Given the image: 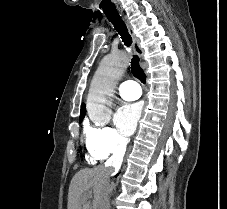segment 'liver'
<instances>
[{
	"label": "liver",
	"mask_w": 227,
	"mask_h": 209,
	"mask_svg": "<svg viewBox=\"0 0 227 209\" xmlns=\"http://www.w3.org/2000/svg\"><path fill=\"white\" fill-rule=\"evenodd\" d=\"M99 175L100 169H82L74 175L69 187L68 209H89L88 205H85L84 193L93 187L95 181L99 179Z\"/></svg>",
	"instance_id": "liver-1"
}]
</instances>
